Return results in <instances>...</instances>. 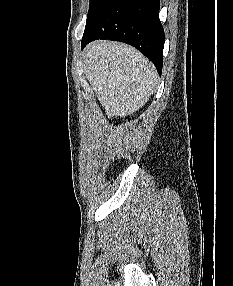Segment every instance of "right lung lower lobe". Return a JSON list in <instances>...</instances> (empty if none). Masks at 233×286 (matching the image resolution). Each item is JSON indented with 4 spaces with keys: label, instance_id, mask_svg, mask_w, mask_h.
Instances as JSON below:
<instances>
[{
    "label": "right lung lower lobe",
    "instance_id": "98d812e1",
    "mask_svg": "<svg viewBox=\"0 0 233 286\" xmlns=\"http://www.w3.org/2000/svg\"><path fill=\"white\" fill-rule=\"evenodd\" d=\"M159 6L160 0H101L87 17L81 47L96 39L130 44L161 74L165 35Z\"/></svg>",
    "mask_w": 233,
    "mask_h": 286
}]
</instances>
